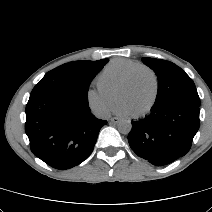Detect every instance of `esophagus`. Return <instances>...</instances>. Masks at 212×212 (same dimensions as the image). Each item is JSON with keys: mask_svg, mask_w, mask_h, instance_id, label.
Segmentation results:
<instances>
[{"mask_svg": "<svg viewBox=\"0 0 212 212\" xmlns=\"http://www.w3.org/2000/svg\"><path fill=\"white\" fill-rule=\"evenodd\" d=\"M110 122L113 123V124H117V123L120 122V118H118V117H113V118H111Z\"/></svg>", "mask_w": 212, "mask_h": 212, "instance_id": "1", "label": "esophagus"}]
</instances>
